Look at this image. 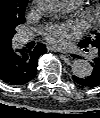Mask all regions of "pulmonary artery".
Here are the masks:
<instances>
[{
  "label": "pulmonary artery",
  "instance_id": "1",
  "mask_svg": "<svg viewBox=\"0 0 100 118\" xmlns=\"http://www.w3.org/2000/svg\"><path fill=\"white\" fill-rule=\"evenodd\" d=\"M64 2H65V7H66L67 10H72V9L76 8V6L78 5L75 2H66V1H64ZM33 34H34V30L26 31L23 34V40L24 41L30 40L33 37ZM92 54H94V51H93Z\"/></svg>",
  "mask_w": 100,
  "mask_h": 118
}]
</instances>
